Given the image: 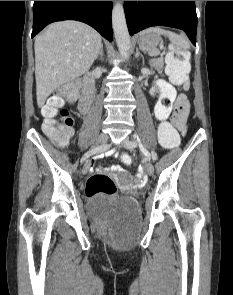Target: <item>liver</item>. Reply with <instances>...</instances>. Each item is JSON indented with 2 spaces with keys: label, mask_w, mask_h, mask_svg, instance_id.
<instances>
[{
  "label": "liver",
  "mask_w": 233,
  "mask_h": 295,
  "mask_svg": "<svg viewBox=\"0 0 233 295\" xmlns=\"http://www.w3.org/2000/svg\"><path fill=\"white\" fill-rule=\"evenodd\" d=\"M102 46L101 35L78 21L47 26L35 39L36 98L40 108L61 85L87 73Z\"/></svg>",
  "instance_id": "liver-1"
}]
</instances>
